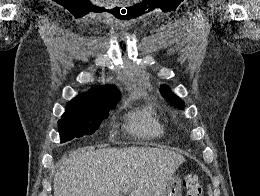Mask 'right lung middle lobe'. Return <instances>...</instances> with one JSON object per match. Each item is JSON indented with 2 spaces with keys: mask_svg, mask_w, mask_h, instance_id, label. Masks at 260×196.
<instances>
[{
  "mask_svg": "<svg viewBox=\"0 0 260 196\" xmlns=\"http://www.w3.org/2000/svg\"><path fill=\"white\" fill-rule=\"evenodd\" d=\"M72 109L66 112L58 121L61 142H67L74 138L93 134L100 126L101 121L108 117L109 111L113 109Z\"/></svg>",
  "mask_w": 260,
  "mask_h": 196,
  "instance_id": "dd1d6c3e",
  "label": "right lung middle lobe"
}]
</instances>
